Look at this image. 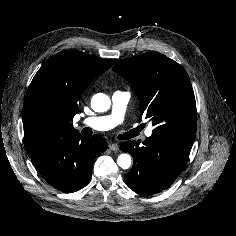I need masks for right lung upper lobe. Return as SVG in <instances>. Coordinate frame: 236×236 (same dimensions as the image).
I'll return each mask as SVG.
<instances>
[{"label": "right lung upper lobe", "mask_w": 236, "mask_h": 236, "mask_svg": "<svg viewBox=\"0 0 236 236\" xmlns=\"http://www.w3.org/2000/svg\"><path fill=\"white\" fill-rule=\"evenodd\" d=\"M114 62L83 52L62 51L43 64L28 88L23 105L27 152L78 132L72 121L80 95L93 78L107 71Z\"/></svg>", "instance_id": "cb5924a9"}]
</instances>
